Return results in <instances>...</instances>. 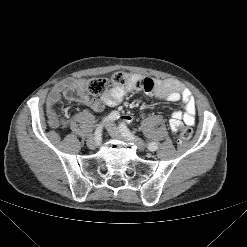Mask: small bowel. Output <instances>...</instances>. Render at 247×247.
<instances>
[{
	"label": "small bowel",
	"mask_w": 247,
	"mask_h": 247,
	"mask_svg": "<svg viewBox=\"0 0 247 247\" xmlns=\"http://www.w3.org/2000/svg\"><path fill=\"white\" fill-rule=\"evenodd\" d=\"M138 80L137 85L121 87L115 86L109 89L102 97L95 99L83 94L77 101L89 106L90 108L101 111L106 107H112L119 104L128 91L134 89L144 92L158 99L176 102L182 101L183 111L176 110L172 113L170 120V129L175 132L183 125L193 126L196 115V102L192 93L173 80H157L148 77H135ZM83 81L69 80L57 85L48 95L46 101V113L48 123L51 127H58L66 123L65 118L61 117L57 111V106L61 100V94L64 90L72 87H80ZM123 120L130 122L131 117L125 116Z\"/></svg>",
	"instance_id": "c3829d8e"
}]
</instances>
